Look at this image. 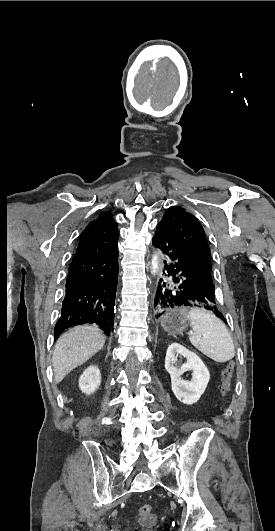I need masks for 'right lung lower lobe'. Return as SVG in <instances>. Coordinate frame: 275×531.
I'll list each match as a JSON object with an SVG mask.
<instances>
[{"label": "right lung lower lobe", "mask_w": 275, "mask_h": 531, "mask_svg": "<svg viewBox=\"0 0 275 531\" xmlns=\"http://www.w3.org/2000/svg\"><path fill=\"white\" fill-rule=\"evenodd\" d=\"M118 230L80 239L69 267L61 317L54 329L59 337L73 326L96 323L110 335L118 277Z\"/></svg>", "instance_id": "98d812e1"}]
</instances>
